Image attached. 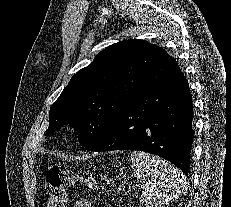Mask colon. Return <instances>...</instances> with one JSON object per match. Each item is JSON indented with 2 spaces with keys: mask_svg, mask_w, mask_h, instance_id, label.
I'll return each instance as SVG.
<instances>
[{
  "mask_svg": "<svg viewBox=\"0 0 231 207\" xmlns=\"http://www.w3.org/2000/svg\"><path fill=\"white\" fill-rule=\"evenodd\" d=\"M46 182L48 185L46 207H65L67 189L77 182H83L91 190L98 188V181L94 177L75 171L62 170L58 167H51L47 170Z\"/></svg>",
  "mask_w": 231,
  "mask_h": 207,
  "instance_id": "obj_1",
  "label": "colon"
}]
</instances>
